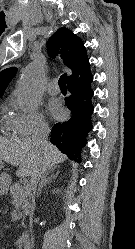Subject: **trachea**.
I'll use <instances>...</instances> for the list:
<instances>
[{
  "mask_svg": "<svg viewBox=\"0 0 135 249\" xmlns=\"http://www.w3.org/2000/svg\"><path fill=\"white\" fill-rule=\"evenodd\" d=\"M66 80H67V74L64 73L63 75H61L59 79V86L61 89H67Z\"/></svg>",
  "mask_w": 135,
  "mask_h": 249,
  "instance_id": "trachea-1",
  "label": "trachea"
}]
</instances>
